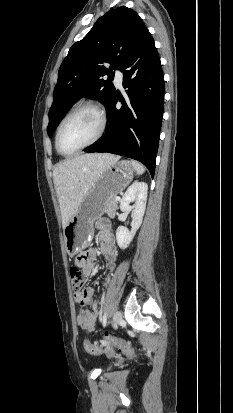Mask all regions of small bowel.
I'll return each mask as SVG.
<instances>
[{
    "label": "small bowel",
    "instance_id": "c3829d8e",
    "mask_svg": "<svg viewBox=\"0 0 233 413\" xmlns=\"http://www.w3.org/2000/svg\"><path fill=\"white\" fill-rule=\"evenodd\" d=\"M102 231L98 238L101 242L100 251L106 259V266L108 269V276L106 277L105 284H108L112 273L116 267L117 251L115 247V239L112 232L108 229L105 223H100ZM96 255L95 250L81 249L76 256V263L82 268L85 275H90L94 269L93 259ZM94 290L92 288H86L82 291L74 293L75 302L86 305H90V309H82L77 314V324L87 330L93 331L96 326L97 319L99 317V306L97 302L92 301Z\"/></svg>",
    "mask_w": 233,
    "mask_h": 413
}]
</instances>
